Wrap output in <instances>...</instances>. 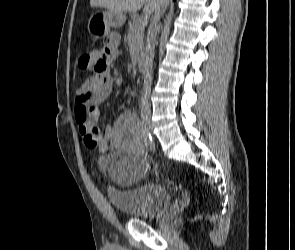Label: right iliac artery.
<instances>
[{
    "label": "right iliac artery",
    "mask_w": 295,
    "mask_h": 250,
    "mask_svg": "<svg viewBox=\"0 0 295 250\" xmlns=\"http://www.w3.org/2000/svg\"><path fill=\"white\" fill-rule=\"evenodd\" d=\"M142 132L145 133V148H149L148 150L149 154H154L155 150L153 148V143H150L152 141L150 131H147L146 128H143Z\"/></svg>",
    "instance_id": "obj_1"
}]
</instances>
